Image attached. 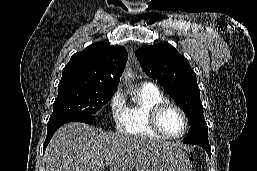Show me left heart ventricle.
<instances>
[{
	"mask_svg": "<svg viewBox=\"0 0 257 171\" xmlns=\"http://www.w3.org/2000/svg\"><path fill=\"white\" fill-rule=\"evenodd\" d=\"M162 129L169 135L177 136L184 129V122L180 113L174 108H167L160 117Z\"/></svg>",
	"mask_w": 257,
	"mask_h": 171,
	"instance_id": "obj_1",
	"label": "left heart ventricle"
}]
</instances>
